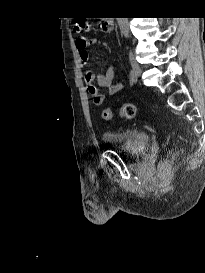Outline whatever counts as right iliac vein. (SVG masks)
<instances>
[{
	"label": "right iliac vein",
	"mask_w": 205,
	"mask_h": 273,
	"mask_svg": "<svg viewBox=\"0 0 205 273\" xmlns=\"http://www.w3.org/2000/svg\"><path fill=\"white\" fill-rule=\"evenodd\" d=\"M129 61H130V65L132 67L134 74L136 75V77H139L141 75L142 70L133 54H130Z\"/></svg>",
	"instance_id": "right-iliac-vein-1"
}]
</instances>
